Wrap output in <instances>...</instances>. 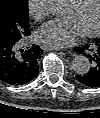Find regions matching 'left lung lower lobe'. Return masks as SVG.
<instances>
[{
	"mask_svg": "<svg viewBox=\"0 0 100 118\" xmlns=\"http://www.w3.org/2000/svg\"><path fill=\"white\" fill-rule=\"evenodd\" d=\"M77 53L86 55L90 61V70L84 75H77L79 83L87 87L100 86V37L82 47L75 48Z\"/></svg>",
	"mask_w": 100,
	"mask_h": 118,
	"instance_id": "1",
	"label": "left lung lower lobe"
}]
</instances>
